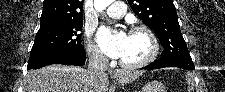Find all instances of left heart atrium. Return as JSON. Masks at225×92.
<instances>
[{
    "instance_id": "obj_1",
    "label": "left heart atrium",
    "mask_w": 225,
    "mask_h": 92,
    "mask_svg": "<svg viewBox=\"0 0 225 92\" xmlns=\"http://www.w3.org/2000/svg\"><path fill=\"white\" fill-rule=\"evenodd\" d=\"M128 34L124 31H119L118 33H112L109 28H102L98 33V43L104 53L111 58H121Z\"/></svg>"
}]
</instances>
